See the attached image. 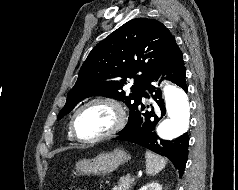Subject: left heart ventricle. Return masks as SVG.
Segmentation results:
<instances>
[{"label":"left heart ventricle","mask_w":238,"mask_h":190,"mask_svg":"<svg viewBox=\"0 0 238 190\" xmlns=\"http://www.w3.org/2000/svg\"><path fill=\"white\" fill-rule=\"evenodd\" d=\"M114 122L112 109L104 105H92L77 117L76 130L81 137H94L106 132Z\"/></svg>","instance_id":"1"}]
</instances>
